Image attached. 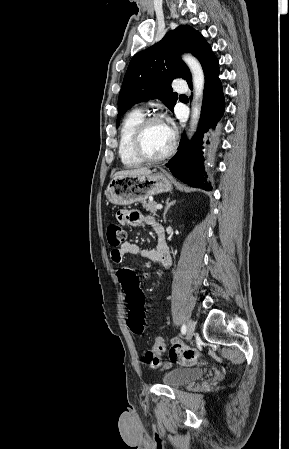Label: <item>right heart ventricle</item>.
Wrapping results in <instances>:
<instances>
[{"label": "right heart ventricle", "instance_id": "right-heart-ventricle-1", "mask_svg": "<svg viewBox=\"0 0 289 449\" xmlns=\"http://www.w3.org/2000/svg\"><path fill=\"white\" fill-rule=\"evenodd\" d=\"M143 119V111L141 109H134L123 120L120 129L118 153L121 162L127 167L138 166L142 163L134 153L132 140L137 126Z\"/></svg>", "mask_w": 289, "mask_h": 449}]
</instances>
